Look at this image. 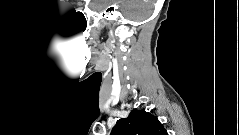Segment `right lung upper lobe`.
<instances>
[{
	"mask_svg": "<svg viewBox=\"0 0 239 135\" xmlns=\"http://www.w3.org/2000/svg\"><path fill=\"white\" fill-rule=\"evenodd\" d=\"M159 120L143 110H132L127 118L119 119L110 135H166Z\"/></svg>",
	"mask_w": 239,
	"mask_h": 135,
	"instance_id": "1",
	"label": "right lung upper lobe"
}]
</instances>
